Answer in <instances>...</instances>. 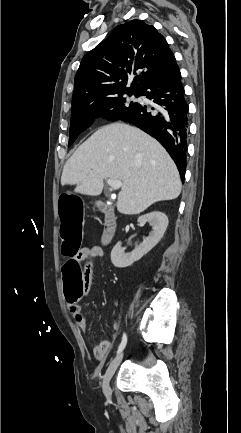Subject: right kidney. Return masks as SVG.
<instances>
[{
  "label": "right kidney",
  "instance_id": "obj_1",
  "mask_svg": "<svg viewBox=\"0 0 241 433\" xmlns=\"http://www.w3.org/2000/svg\"><path fill=\"white\" fill-rule=\"evenodd\" d=\"M147 222L152 226V232L148 237L144 238L143 242L139 246H136L132 252L125 253L121 242H118L113 247L111 251V261L115 267L125 268L131 266L154 248L161 240L168 226V217L163 212L153 211L138 218L140 225Z\"/></svg>",
  "mask_w": 241,
  "mask_h": 433
}]
</instances>
